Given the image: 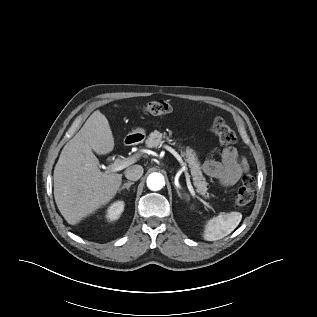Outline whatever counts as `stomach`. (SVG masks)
<instances>
[{
    "label": "stomach",
    "mask_w": 317,
    "mask_h": 317,
    "mask_svg": "<svg viewBox=\"0 0 317 317\" xmlns=\"http://www.w3.org/2000/svg\"><path fill=\"white\" fill-rule=\"evenodd\" d=\"M131 135H136V139L140 141L144 138V136H146V132L143 128H136L135 130L132 131V133L128 134V136H131Z\"/></svg>",
    "instance_id": "obj_1"
}]
</instances>
